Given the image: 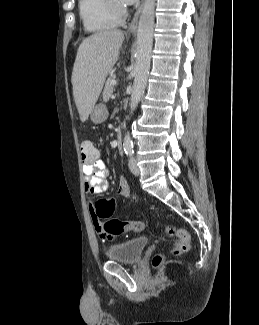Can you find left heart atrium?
Returning <instances> with one entry per match:
<instances>
[{
	"mask_svg": "<svg viewBox=\"0 0 259 325\" xmlns=\"http://www.w3.org/2000/svg\"><path fill=\"white\" fill-rule=\"evenodd\" d=\"M124 3L126 4H132L134 3L136 0H122Z\"/></svg>",
	"mask_w": 259,
	"mask_h": 325,
	"instance_id": "left-heart-atrium-1",
	"label": "left heart atrium"
}]
</instances>
